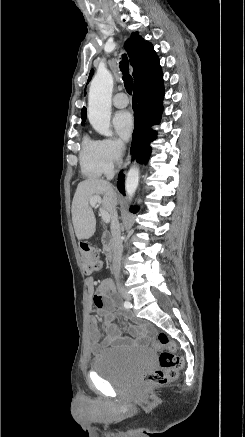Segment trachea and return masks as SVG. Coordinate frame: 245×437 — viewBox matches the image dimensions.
Wrapping results in <instances>:
<instances>
[{"label": "trachea", "mask_w": 245, "mask_h": 437, "mask_svg": "<svg viewBox=\"0 0 245 437\" xmlns=\"http://www.w3.org/2000/svg\"><path fill=\"white\" fill-rule=\"evenodd\" d=\"M120 70L123 74L125 89L128 92V94L131 95L133 90V79L132 76L129 74V61L125 54L122 55V61L120 62Z\"/></svg>", "instance_id": "1"}]
</instances>
